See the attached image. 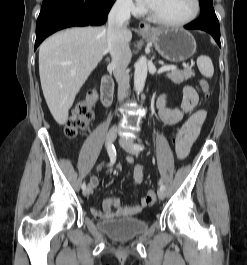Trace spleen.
Segmentation results:
<instances>
[{
    "label": "spleen",
    "mask_w": 247,
    "mask_h": 265,
    "mask_svg": "<svg viewBox=\"0 0 247 265\" xmlns=\"http://www.w3.org/2000/svg\"><path fill=\"white\" fill-rule=\"evenodd\" d=\"M197 66L199 68L200 73L207 77V78H211L214 74V67H213V63L211 61V59L206 56V55H202L200 57H198L197 59Z\"/></svg>",
    "instance_id": "1"
}]
</instances>
